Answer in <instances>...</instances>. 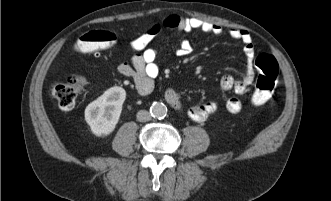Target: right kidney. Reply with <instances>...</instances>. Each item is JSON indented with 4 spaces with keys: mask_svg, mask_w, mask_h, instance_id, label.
Returning <instances> with one entry per match:
<instances>
[{
    "mask_svg": "<svg viewBox=\"0 0 331 201\" xmlns=\"http://www.w3.org/2000/svg\"><path fill=\"white\" fill-rule=\"evenodd\" d=\"M126 91L119 86L107 89L100 97L88 104L85 120L96 136L111 134L121 115Z\"/></svg>",
    "mask_w": 331,
    "mask_h": 201,
    "instance_id": "obj_1",
    "label": "right kidney"
}]
</instances>
